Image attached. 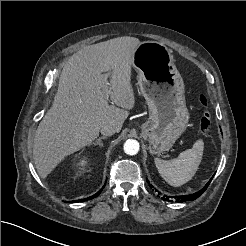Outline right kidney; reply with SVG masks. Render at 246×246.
I'll return each mask as SVG.
<instances>
[{
    "label": "right kidney",
    "instance_id": "ca27d5eb",
    "mask_svg": "<svg viewBox=\"0 0 246 246\" xmlns=\"http://www.w3.org/2000/svg\"><path fill=\"white\" fill-rule=\"evenodd\" d=\"M88 164V161L86 158H81L77 161L76 163V167L79 169V170H83L85 168V166Z\"/></svg>",
    "mask_w": 246,
    "mask_h": 246
}]
</instances>
